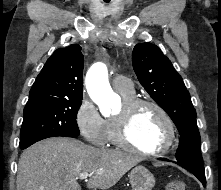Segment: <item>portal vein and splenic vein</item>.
<instances>
[{
	"label": "portal vein and splenic vein",
	"mask_w": 221,
	"mask_h": 190,
	"mask_svg": "<svg viewBox=\"0 0 221 190\" xmlns=\"http://www.w3.org/2000/svg\"><path fill=\"white\" fill-rule=\"evenodd\" d=\"M92 174H94V172H92V173L84 172V173L79 174L78 177H79V179L84 180V179H87ZM96 174H101V172H97Z\"/></svg>",
	"instance_id": "18ae733b"
}]
</instances>
